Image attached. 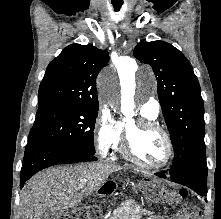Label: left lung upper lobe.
<instances>
[{
	"mask_svg": "<svg viewBox=\"0 0 221 219\" xmlns=\"http://www.w3.org/2000/svg\"><path fill=\"white\" fill-rule=\"evenodd\" d=\"M133 54L151 65L157 79L158 98L175 154L169 173L206 163L204 103L189 61L164 41H141Z\"/></svg>",
	"mask_w": 221,
	"mask_h": 219,
	"instance_id": "obj_1",
	"label": "left lung upper lobe"
}]
</instances>
